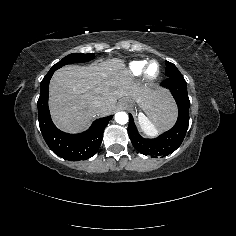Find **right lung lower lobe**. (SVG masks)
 <instances>
[{
  "instance_id": "obj_1",
  "label": "right lung lower lobe",
  "mask_w": 236,
  "mask_h": 236,
  "mask_svg": "<svg viewBox=\"0 0 236 236\" xmlns=\"http://www.w3.org/2000/svg\"><path fill=\"white\" fill-rule=\"evenodd\" d=\"M54 72L50 70L43 78L37 103L39 126L43 138L49 148L65 160L89 159L97 153L104 129L113 116L96 120L87 131L80 134H68L60 131L53 124L48 109L49 81Z\"/></svg>"
}]
</instances>
